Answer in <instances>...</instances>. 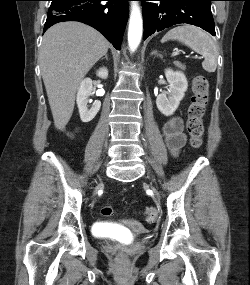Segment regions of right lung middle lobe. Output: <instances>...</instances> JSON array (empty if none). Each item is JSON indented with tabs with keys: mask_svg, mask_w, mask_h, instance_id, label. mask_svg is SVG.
<instances>
[{
	"mask_svg": "<svg viewBox=\"0 0 250 285\" xmlns=\"http://www.w3.org/2000/svg\"><path fill=\"white\" fill-rule=\"evenodd\" d=\"M51 1H52V3H53V2H57V1H61V0H51Z\"/></svg>",
	"mask_w": 250,
	"mask_h": 285,
	"instance_id": "obj_1",
	"label": "right lung middle lobe"
}]
</instances>
